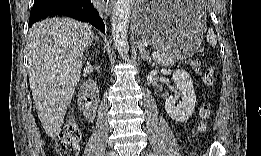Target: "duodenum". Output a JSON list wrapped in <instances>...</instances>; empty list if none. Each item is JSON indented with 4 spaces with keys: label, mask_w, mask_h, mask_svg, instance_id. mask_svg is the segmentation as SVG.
Segmentation results:
<instances>
[{
    "label": "duodenum",
    "mask_w": 261,
    "mask_h": 156,
    "mask_svg": "<svg viewBox=\"0 0 261 156\" xmlns=\"http://www.w3.org/2000/svg\"><path fill=\"white\" fill-rule=\"evenodd\" d=\"M80 109L85 116L92 118L97 106V94L92 84H86L79 94Z\"/></svg>",
    "instance_id": "410a0bca"
}]
</instances>
